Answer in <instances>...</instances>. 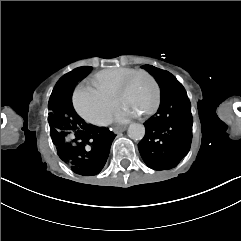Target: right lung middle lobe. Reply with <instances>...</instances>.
Returning <instances> with one entry per match:
<instances>
[{"label": "right lung middle lobe", "instance_id": "1", "mask_svg": "<svg viewBox=\"0 0 241 241\" xmlns=\"http://www.w3.org/2000/svg\"><path fill=\"white\" fill-rule=\"evenodd\" d=\"M92 70V67H89ZM70 73L61 77L54 87L49 99L48 108L50 110L48 121L52 134L53 143L60 144L73 140L64 122V107H72V93L66 86V78Z\"/></svg>", "mask_w": 241, "mask_h": 241}]
</instances>
